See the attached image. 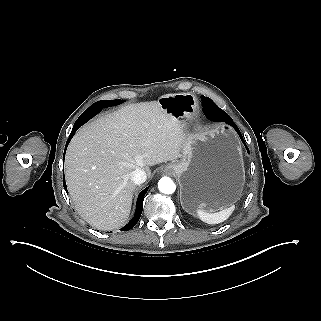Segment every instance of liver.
<instances>
[{"mask_svg":"<svg viewBox=\"0 0 321 321\" xmlns=\"http://www.w3.org/2000/svg\"><path fill=\"white\" fill-rule=\"evenodd\" d=\"M179 119L159 102L129 104L82 127L70 143L66 181L79 214L93 227L123 226L135 184L130 173L181 158Z\"/></svg>","mask_w":321,"mask_h":321,"instance_id":"liver-1","label":"liver"}]
</instances>
